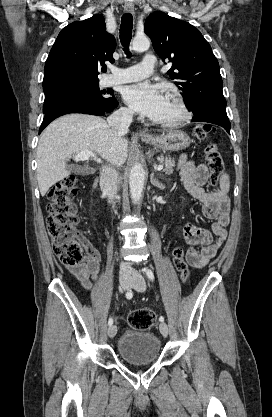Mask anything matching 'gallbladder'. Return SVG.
Wrapping results in <instances>:
<instances>
[{"mask_svg": "<svg viewBox=\"0 0 272 417\" xmlns=\"http://www.w3.org/2000/svg\"><path fill=\"white\" fill-rule=\"evenodd\" d=\"M68 168L76 175H85L88 172L85 167L79 165H69Z\"/></svg>", "mask_w": 272, "mask_h": 417, "instance_id": "bac80fb5", "label": "gallbladder"}]
</instances>
